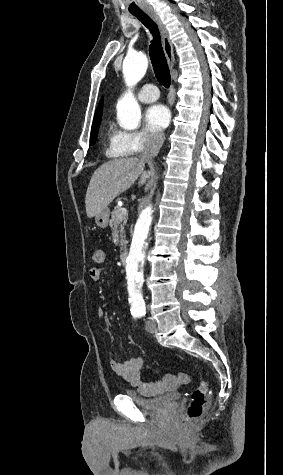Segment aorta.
Returning a JSON list of instances; mask_svg holds the SVG:
<instances>
[{
	"instance_id": "762f6f07",
	"label": "aorta",
	"mask_w": 283,
	"mask_h": 475,
	"mask_svg": "<svg viewBox=\"0 0 283 475\" xmlns=\"http://www.w3.org/2000/svg\"><path fill=\"white\" fill-rule=\"evenodd\" d=\"M148 60L144 53H129L123 61V76L127 92L117 103V118L124 129L137 128L141 119V109L132 88L144 77ZM157 225V212L150 202L141 204L133 225L132 242L126 260L128 300L132 308L145 307L142 285L146 251Z\"/></svg>"
}]
</instances>
